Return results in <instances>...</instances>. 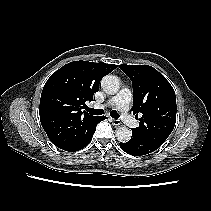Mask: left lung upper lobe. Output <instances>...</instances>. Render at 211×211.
<instances>
[{"label": "left lung upper lobe", "instance_id": "1", "mask_svg": "<svg viewBox=\"0 0 211 211\" xmlns=\"http://www.w3.org/2000/svg\"><path fill=\"white\" fill-rule=\"evenodd\" d=\"M131 79L135 116L142 114L139 127L132 134L161 146L176 122V96L171 84L155 68L148 65H119Z\"/></svg>", "mask_w": 211, "mask_h": 211}]
</instances>
